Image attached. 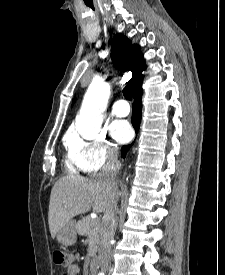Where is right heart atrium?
I'll list each match as a JSON object with an SVG mask.
<instances>
[{"mask_svg": "<svg viewBox=\"0 0 225 275\" xmlns=\"http://www.w3.org/2000/svg\"><path fill=\"white\" fill-rule=\"evenodd\" d=\"M71 157L84 172H95L116 160V147L107 140L105 132L91 138L71 133L67 137Z\"/></svg>", "mask_w": 225, "mask_h": 275, "instance_id": "d8ad5b80", "label": "right heart atrium"}]
</instances>
